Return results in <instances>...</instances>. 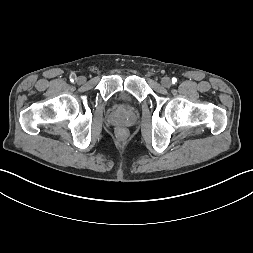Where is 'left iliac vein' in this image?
Masks as SVG:
<instances>
[{
  "instance_id": "4c4485c4",
  "label": "left iliac vein",
  "mask_w": 253,
  "mask_h": 253,
  "mask_svg": "<svg viewBox=\"0 0 253 253\" xmlns=\"http://www.w3.org/2000/svg\"><path fill=\"white\" fill-rule=\"evenodd\" d=\"M161 84H162L164 87L169 88V87L172 85V82H171V80H170L169 77H163V78L161 79Z\"/></svg>"
}]
</instances>
